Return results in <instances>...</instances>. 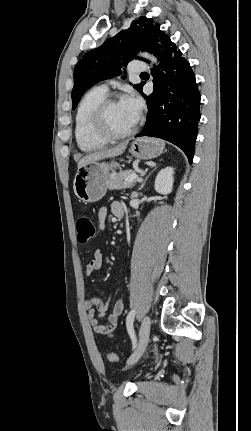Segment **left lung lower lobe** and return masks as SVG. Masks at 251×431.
<instances>
[{
  "instance_id": "left-lung-lower-lobe-1",
  "label": "left lung lower lobe",
  "mask_w": 251,
  "mask_h": 431,
  "mask_svg": "<svg viewBox=\"0 0 251 431\" xmlns=\"http://www.w3.org/2000/svg\"><path fill=\"white\" fill-rule=\"evenodd\" d=\"M152 53L160 61L153 72L154 92L146 96L148 116L144 129L136 135L165 139L180 147L192 162L200 95L189 62L169 37L160 38ZM145 83H143L144 85ZM143 87V86H142Z\"/></svg>"
}]
</instances>
